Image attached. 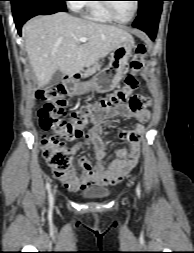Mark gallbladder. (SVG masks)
I'll use <instances>...</instances> for the list:
<instances>
[{
    "label": "gallbladder",
    "instance_id": "bac80fb5",
    "mask_svg": "<svg viewBox=\"0 0 194 253\" xmlns=\"http://www.w3.org/2000/svg\"><path fill=\"white\" fill-rule=\"evenodd\" d=\"M62 77H63L62 72L61 71H56L53 74L51 80L49 81V86L53 87V86L58 85L62 81Z\"/></svg>",
    "mask_w": 194,
    "mask_h": 253
}]
</instances>
